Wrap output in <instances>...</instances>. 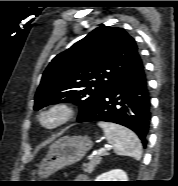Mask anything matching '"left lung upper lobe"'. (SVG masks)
Returning a JSON list of instances; mask_svg holds the SVG:
<instances>
[{
	"label": "left lung upper lobe",
	"instance_id": "left-lung-upper-lobe-1",
	"mask_svg": "<svg viewBox=\"0 0 178 186\" xmlns=\"http://www.w3.org/2000/svg\"><path fill=\"white\" fill-rule=\"evenodd\" d=\"M142 63L136 41L123 29L101 26L58 54L43 73L34 109L72 102L82 114L97 106L109 87Z\"/></svg>",
	"mask_w": 178,
	"mask_h": 186
}]
</instances>
